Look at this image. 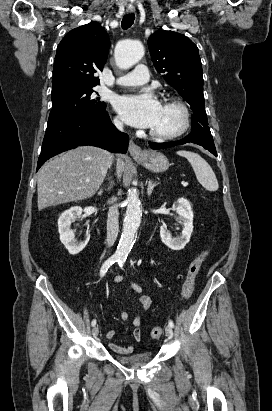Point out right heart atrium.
I'll return each instance as SVG.
<instances>
[{
    "label": "right heart atrium",
    "instance_id": "1",
    "mask_svg": "<svg viewBox=\"0 0 272 411\" xmlns=\"http://www.w3.org/2000/svg\"><path fill=\"white\" fill-rule=\"evenodd\" d=\"M116 124H117V125H121V122L117 119V120H116Z\"/></svg>",
    "mask_w": 272,
    "mask_h": 411
}]
</instances>
